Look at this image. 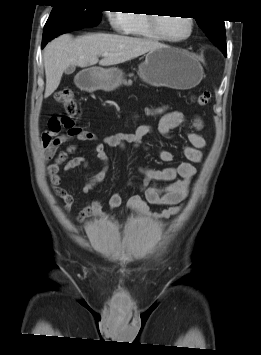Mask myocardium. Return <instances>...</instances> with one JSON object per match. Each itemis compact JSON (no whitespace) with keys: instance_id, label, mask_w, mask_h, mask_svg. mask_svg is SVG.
Masks as SVG:
<instances>
[{"instance_id":"myocardium-1","label":"myocardium","mask_w":261,"mask_h":355,"mask_svg":"<svg viewBox=\"0 0 261 355\" xmlns=\"http://www.w3.org/2000/svg\"><path fill=\"white\" fill-rule=\"evenodd\" d=\"M155 15H157V14H149V24H150V28H151L152 32L160 40L170 42V43H180V42H183V41L189 39L194 33L195 21H194L193 17L186 16L185 18L188 20V23H189L188 34L181 37V38H177V39L167 37L162 33V31L160 29V25H159L160 18H158V15L157 16H155Z\"/></svg>"}]
</instances>
